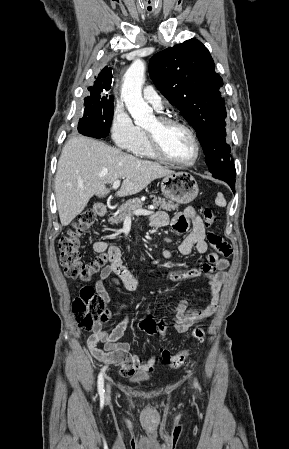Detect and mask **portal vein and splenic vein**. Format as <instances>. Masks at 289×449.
I'll return each mask as SVG.
<instances>
[{
	"mask_svg": "<svg viewBox=\"0 0 289 449\" xmlns=\"http://www.w3.org/2000/svg\"><path fill=\"white\" fill-rule=\"evenodd\" d=\"M119 186H120V180H115V181L113 182L112 189H117ZM151 209H152V208H151ZM133 213H134L135 215H145V216H147V215L152 214L153 211H152V210H146V209H137V210H135ZM129 216H130V215H129ZM129 216H128V217H129Z\"/></svg>",
	"mask_w": 289,
	"mask_h": 449,
	"instance_id": "1",
	"label": "portal vein and splenic vein"
}]
</instances>
